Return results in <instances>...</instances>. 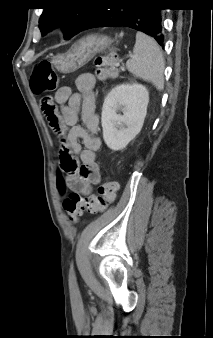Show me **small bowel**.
<instances>
[{
    "mask_svg": "<svg viewBox=\"0 0 213 338\" xmlns=\"http://www.w3.org/2000/svg\"><path fill=\"white\" fill-rule=\"evenodd\" d=\"M95 84L92 74H81L75 80L78 92L72 93L68 86L60 87L54 95V102L49 103L54 106L59 125L64 130L63 146L69 149L74 159L81 161L80 168L67 173V185L71 191L83 196L90 195L92 185L99 181L96 152L100 140L96 136L99 118L95 106ZM80 120L83 125L79 124Z\"/></svg>",
    "mask_w": 213,
    "mask_h": 338,
    "instance_id": "small-bowel-1",
    "label": "small bowel"
}]
</instances>
